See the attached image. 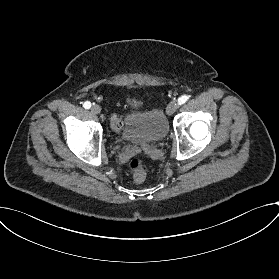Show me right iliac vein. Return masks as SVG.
I'll return each instance as SVG.
<instances>
[{
  "label": "right iliac vein",
  "instance_id": "63e3f726",
  "mask_svg": "<svg viewBox=\"0 0 279 279\" xmlns=\"http://www.w3.org/2000/svg\"><path fill=\"white\" fill-rule=\"evenodd\" d=\"M90 112L94 115L99 114L101 112V107L99 105H92Z\"/></svg>",
  "mask_w": 279,
  "mask_h": 279
}]
</instances>
